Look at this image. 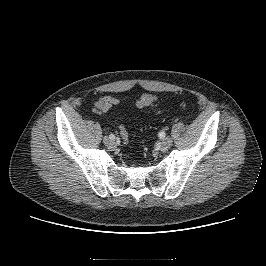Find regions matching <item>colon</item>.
<instances>
[{
	"instance_id": "5ec220e1",
	"label": "colon",
	"mask_w": 266,
	"mask_h": 266,
	"mask_svg": "<svg viewBox=\"0 0 266 266\" xmlns=\"http://www.w3.org/2000/svg\"><path fill=\"white\" fill-rule=\"evenodd\" d=\"M155 103L156 97L153 94H143L137 99L136 106L138 108H148L154 106ZM121 135L124 140H127L128 134L124 127H121Z\"/></svg>"
}]
</instances>
